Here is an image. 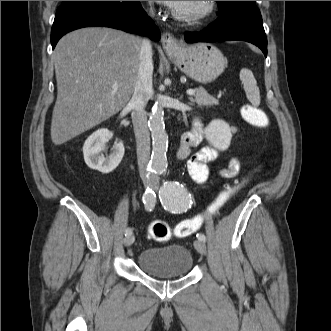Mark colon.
<instances>
[{
    "mask_svg": "<svg viewBox=\"0 0 331 331\" xmlns=\"http://www.w3.org/2000/svg\"><path fill=\"white\" fill-rule=\"evenodd\" d=\"M243 116L248 123L258 128H264L269 123L267 114L254 106H245L243 108ZM239 185H241V182L223 191L208 207L207 214L215 215L218 213L236 189H238ZM202 221L203 217L200 216L184 220L176 226L174 234L180 238L189 236L199 228ZM149 235L156 241H165L171 236V231L165 222L154 221L149 227Z\"/></svg>",
    "mask_w": 331,
    "mask_h": 331,
    "instance_id": "1",
    "label": "colon"
}]
</instances>
